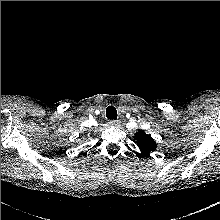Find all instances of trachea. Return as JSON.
Masks as SVG:
<instances>
[{
    "label": "trachea",
    "mask_w": 220,
    "mask_h": 220,
    "mask_svg": "<svg viewBox=\"0 0 220 220\" xmlns=\"http://www.w3.org/2000/svg\"><path fill=\"white\" fill-rule=\"evenodd\" d=\"M117 110L113 106H109L106 108V117L110 120H116L117 119Z\"/></svg>",
    "instance_id": "trachea-1"
}]
</instances>
